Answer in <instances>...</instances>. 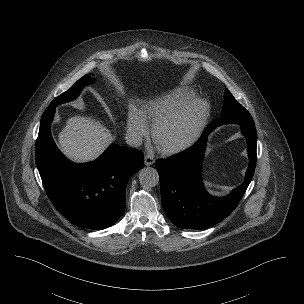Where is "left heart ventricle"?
<instances>
[{"label": "left heart ventricle", "mask_w": 304, "mask_h": 304, "mask_svg": "<svg viewBox=\"0 0 304 304\" xmlns=\"http://www.w3.org/2000/svg\"><path fill=\"white\" fill-rule=\"evenodd\" d=\"M193 124V117L187 116L169 124L162 133V140L171 142L183 138Z\"/></svg>", "instance_id": "left-heart-ventricle-1"}]
</instances>
